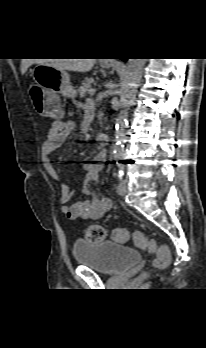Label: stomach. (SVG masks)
Here are the masks:
<instances>
[{"label": "stomach", "mask_w": 206, "mask_h": 348, "mask_svg": "<svg viewBox=\"0 0 206 348\" xmlns=\"http://www.w3.org/2000/svg\"><path fill=\"white\" fill-rule=\"evenodd\" d=\"M32 76L35 86L41 90L39 100H34V107L43 116H51L54 113L59 94L65 97H75L77 94L65 70L39 64L32 70Z\"/></svg>", "instance_id": "stomach-1"}]
</instances>
